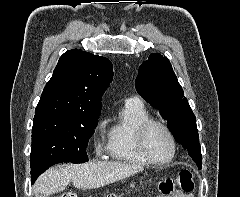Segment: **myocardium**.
Returning <instances> with one entry per match:
<instances>
[{
  "label": "myocardium",
  "instance_id": "1",
  "mask_svg": "<svg viewBox=\"0 0 240 197\" xmlns=\"http://www.w3.org/2000/svg\"><path fill=\"white\" fill-rule=\"evenodd\" d=\"M152 126H159V127L163 128L171 140L172 152H171V155L169 156V158H167L165 160L154 159L147 150L146 135H147L148 130ZM135 143H136V147H137L139 153L141 154V156L148 163L153 164V165L163 166V165L169 164L174 160L176 153H177V141H176V138H175L172 130L166 123H164L163 121L157 120V119L149 118V119L145 120L144 122H142L136 128Z\"/></svg>",
  "mask_w": 240,
  "mask_h": 197
}]
</instances>
